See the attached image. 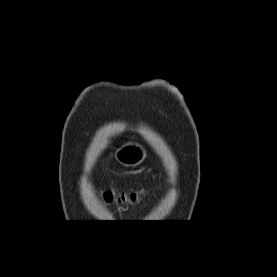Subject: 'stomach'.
<instances>
[{
	"mask_svg": "<svg viewBox=\"0 0 277 277\" xmlns=\"http://www.w3.org/2000/svg\"><path fill=\"white\" fill-rule=\"evenodd\" d=\"M115 158L125 166H136L146 158V151L136 142H128L116 150Z\"/></svg>",
	"mask_w": 277,
	"mask_h": 277,
	"instance_id": "0dacf381",
	"label": "stomach"
}]
</instances>
